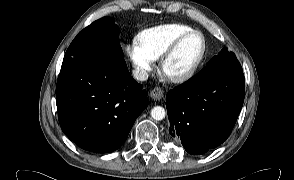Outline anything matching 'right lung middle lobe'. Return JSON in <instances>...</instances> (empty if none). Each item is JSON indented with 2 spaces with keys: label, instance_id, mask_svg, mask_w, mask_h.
<instances>
[{
  "label": "right lung middle lobe",
  "instance_id": "obj_1",
  "mask_svg": "<svg viewBox=\"0 0 294 180\" xmlns=\"http://www.w3.org/2000/svg\"><path fill=\"white\" fill-rule=\"evenodd\" d=\"M123 55L118 26L110 17L101 18L83 29L68 47L62 66L87 56Z\"/></svg>",
  "mask_w": 294,
  "mask_h": 180
}]
</instances>
